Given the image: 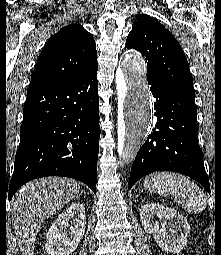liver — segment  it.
<instances>
[{"label": "liver", "mask_w": 221, "mask_h": 255, "mask_svg": "<svg viewBox=\"0 0 221 255\" xmlns=\"http://www.w3.org/2000/svg\"><path fill=\"white\" fill-rule=\"evenodd\" d=\"M79 192V183L65 177L41 178L21 187L11 200L10 213L22 255H34L42 223Z\"/></svg>", "instance_id": "obj_1"}]
</instances>
